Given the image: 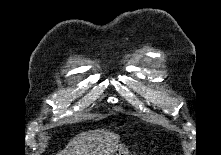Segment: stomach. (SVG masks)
I'll return each mask as SVG.
<instances>
[{
    "label": "stomach",
    "instance_id": "stomach-1",
    "mask_svg": "<svg viewBox=\"0 0 221 155\" xmlns=\"http://www.w3.org/2000/svg\"><path fill=\"white\" fill-rule=\"evenodd\" d=\"M112 155H130L128 147L124 145H118Z\"/></svg>",
    "mask_w": 221,
    "mask_h": 155
}]
</instances>
